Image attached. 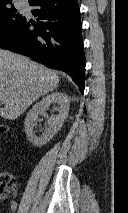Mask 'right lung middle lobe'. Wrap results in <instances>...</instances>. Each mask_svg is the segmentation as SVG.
I'll return each instance as SVG.
<instances>
[{
	"label": "right lung middle lobe",
	"instance_id": "1",
	"mask_svg": "<svg viewBox=\"0 0 128 213\" xmlns=\"http://www.w3.org/2000/svg\"><path fill=\"white\" fill-rule=\"evenodd\" d=\"M26 18L9 4L0 6V42L8 37Z\"/></svg>",
	"mask_w": 128,
	"mask_h": 213
}]
</instances>
